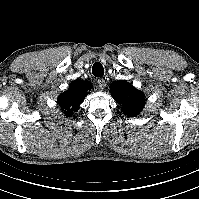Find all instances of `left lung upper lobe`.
<instances>
[{"label":"left lung upper lobe","mask_w":199,"mask_h":199,"mask_svg":"<svg viewBox=\"0 0 199 199\" xmlns=\"http://www.w3.org/2000/svg\"><path fill=\"white\" fill-rule=\"evenodd\" d=\"M110 89L112 97L122 105L124 114L134 117L144 108V94L127 81H115L111 83Z\"/></svg>","instance_id":"obj_1"}]
</instances>
